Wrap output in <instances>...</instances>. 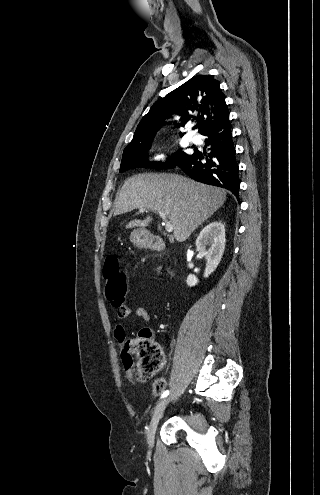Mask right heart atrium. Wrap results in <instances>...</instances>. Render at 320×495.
Wrapping results in <instances>:
<instances>
[{"instance_id":"1","label":"right heart atrium","mask_w":320,"mask_h":495,"mask_svg":"<svg viewBox=\"0 0 320 495\" xmlns=\"http://www.w3.org/2000/svg\"><path fill=\"white\" fill-rule=\"evenodd\" d=\"M163 157H164V155H163V154H156V155L154 156V158H155V159H158V160L162 159Z\"/></svg>"}]
</instances>
